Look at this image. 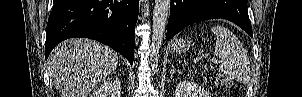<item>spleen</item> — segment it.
Returning <instances> with one entry per match:
<instances>
[{
    "instance_id": "3e777b00",
    "label": "spleen",
    "mask_w": 302,
    "mask_h": 97,
    "mask_svg": "<svg viewBox=\"0 0 302 97\" xmlns=\"http://www.w3.org/2000/svg\"><path fill=\"white\" fill-rule=\"evenodd\" d=\"M211 32L217 37L214 55L224 61L219 70L238 82L248 83L250 62L238 38L228 28L220 25L211 27Z\"/></svg>"
}]
</instances>
